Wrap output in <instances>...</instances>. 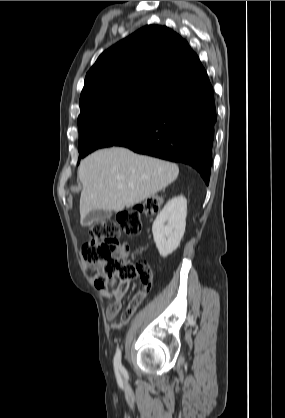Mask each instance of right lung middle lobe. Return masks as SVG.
Returning a JSON list of instances; mask_svg holds the SVG:
<instances>
[{
	"instance_id": "right-lung-middle-lobe-1",
	"label": "right lung middle lobe",
	"mask_w": 285,
	"mask_h": 418,
	"mask_svg": "<svg viewBox=\"0 0 285 418\" xmlns=\"http://www.w3.org/2000/svg\"><path fill=\"white\" fill-rule=\"evenodd\" d=\"M165 105L134 101L110 105L78 121L79 161L99 148L115 146L153 122Z\"/></svg>"
}]
</instances>
